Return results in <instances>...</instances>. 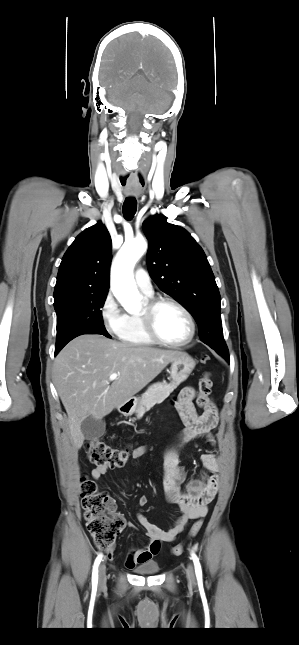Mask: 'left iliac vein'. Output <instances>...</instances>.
I'll use <instances>...</instances> for the list:
<instances>
[{
    "instance_id": "obj_1",
    "label": "left iliac vein",
    "mask_w": 299,
    "mask_h": 645,
    "mask_svg": "<svg viewBox=\"0 0 299 645\" xmlns=\"http://www.w3.org/2000/svg\"><path fill=\"white\" fill-rule=\"evenodd\" d=\"M186 576L190 583H195V574H194L193 565L191 563H189L186 568Z\"/></svg>"
}]
</instances>
